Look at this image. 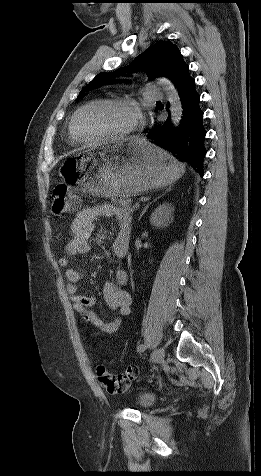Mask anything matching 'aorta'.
I'll use <instances>...</instances> for the list:
<instances>
[{
	"label": "aorta",
	"mask_w": 261,
	"mask_h": 476,
	"mask_svg": "<svg viewBox=\"0 0 261 476\" xmlns=\"http://www.w3.org/2000/svg\"><path fill=\"white\" fill-rule=\"evenodd\" d=\"M157 83L162 87L166 94L170 105L171 122L173 126L177 127L180 124L182 117V105L178 91L176 90L173 83L165 77L158 78Z\"/></svg>",
	"instance_id": "1"
}]
</instances>
